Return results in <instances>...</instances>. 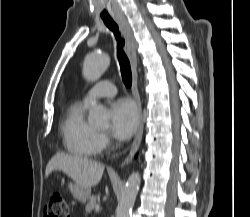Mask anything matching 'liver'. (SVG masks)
Wrapping results in <instances>:
<instances>
[{"mask_svg": "<svg viewBox=\"0 0 250 217\" xmlns=\"http://www.w3.org/2000/svg\"><path fill=\"white\" fill-rule=\"evenodd\" d=\"M55 170L64 172L79 187L91 188L100 182L104 165L86 158L57 153L48 162L45 176L48 177Z\"/></svg>", "mask_w": 250, "mask_h": 217, "instance_id": "liver-1", "label": "liver"}]
</instances>
